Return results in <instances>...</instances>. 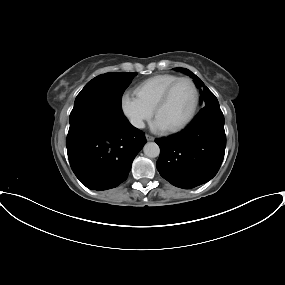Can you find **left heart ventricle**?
Listing matches in <instances>:
<instances>
[{"instance_id":"b2bd125f","label":"left heart ventricle","mask_w":285,"mask_h":285,"mask_svg":"<svg viewBox=\"0 0 285 285\" xmlns=\"http://www.w3.org/2000/svg\"><path fill=\"white\" fill-rule=\"evenodd\" d=\"M194 104V91L190 83L184 81L174 89L169 101L158 111L157 116L166 127L172 128L184 121Z\"/></svg>"}]
</instances>
